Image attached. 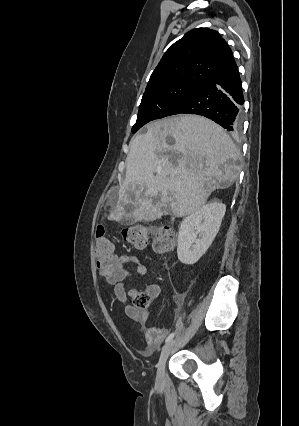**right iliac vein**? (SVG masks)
<instances>
[{
  "label": "right iliac vein",
  "instance_id": "obj_1",
  "mask_svg": "<svg viewBox=\"0 0 299 426\" xmlns=\"http://www.w3.org/2000/svg\"><path fill=\"white\" fill-rule=\"evenodd\" d=\"M177 341L176 340H172L169 341L163 348L159 357V361L157 364V374H156V385L157 386H162L164 383V376H165V364L167 361V358L170 354V352L172 351V349L174 348V346L176 345Z\"/></svg>",
  "mask_w": 299,
  "mask_h": 426
}]
</instances>
